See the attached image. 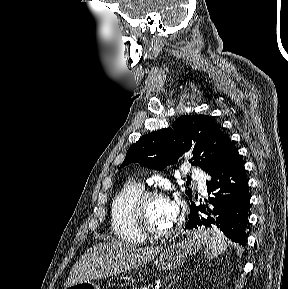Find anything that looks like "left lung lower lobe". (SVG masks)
<instances>
[{"label": "left lung lower lobe", "instance_id": "obj_1", "mask_svg": "<svg viewBox=\"0 0 288 289\" xmlns=\"http://www.w3.org/2000/svg\"><path fill=\"white\" fill-rule=\"evenodd\" d=\"M207 199L203 204L190 206V217L185 227L219 228L229 239L245 246L250 197L245 168L230 139L212 167L206 172Z\"/></svg>", "mask_w": 288, "mask_h": 289}]
</instances>
